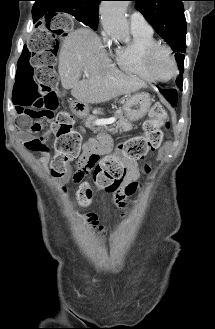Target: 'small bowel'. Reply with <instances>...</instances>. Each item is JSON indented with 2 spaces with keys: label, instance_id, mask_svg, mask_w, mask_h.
<instances>
[{
  "label": "small bowel",
  "instance_id": "c3829d8e",
  "mask_svg": "<svg viewBox=\"0 0 215 329\" xmlns=\"http://www.w3.org/2000/svg\"><path fill=\"white\" fill-rule=\"evenodd\" d=\"M26 124H27V122L23 118H21L20 128H21V126H24ZM23 132H25V131H23ZM25 133L34 135L29 132H25ZM35 138H37V137L26 138L23 140V144L29 150L38 153L39 161L42 162L43 164H46L49 161L50 148H49L48 144L42 139H40V140L48 146L47 149H37V148L32 147L31 142ZM108 146H109L108 140H103V141H97L95 139L89 140L83 147V154L80 158L79 164L81 163V160L86 156H89L91 154L100 155V154L105 153L108 149ZM124 166L127 169V176H126V180H125L126 187H121L119 190H117L114 193L115 202L121 208L125 207V201H124L125 195L124 194H134L133 196L135 198H138L140 196L139 194H143L144 189L146 188V183L141 182V179L137 178L139 175V168L137 166V163L133 160H125ZM84 219L91 228H93L98 233L105 235L103 228L99 225V220H98L97 214H95L93 212L87 213L84 216Z\"/></svg>",
  "mask_w": 215,
  "mask_h": 329
}]
</instances>
